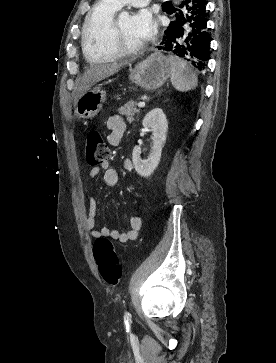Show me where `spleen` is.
I'll use <instances>...</instances> for the list:
<instances>
[{
  "instance_id": "1",
  "label": "spleen",
  "mask_w": 276,
  "mask_h": 363,
  "mask_svg": "<svg viewBox=\"0 0 276 363\" xmlns=\"http://www.w3.org/2000/svg\"><path fill=\"white\" fill-rule=\"evenodd\" d=\"M171 64V83L176 90L187 92L197 87L198 78L187 63L176 56L169 57Z\"/></svg>"
}]
</instances>
